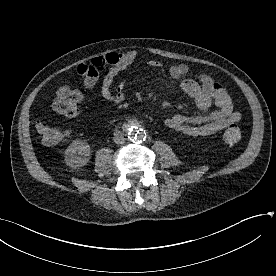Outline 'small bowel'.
I'll return each mask as SVG.
<instances>
[{"label": "small bowel", "mask_w": 276, "mask_h": 276, "mask_svg": "<svg viewBox=\"0 0 276 276\" xmlns=\"http://www.w3.org/2000/svg\"><path fill=\"white\" fill-rule=\"evenodd\" d=\"M140 57L138 50L129 49L126 52H111L93 58L88 64L77 68L83 78L87 91L95 90L100 73L106 70L101 80V96L113 103H120L124 99V83H118L114 88L115 79L127 71ZM147 65L158 68L160 61L149 59ZM189 68L186 64H177L170 67L169 73L175 80L180 81L181 90L192 98L200 110H207L212 105L215 109L206 115L175 114L165 120L167 127L189 136H208L215 134L229 125L239 122L241 115L235 111L226 89L209 74L202 73L197 80L184 78Z\"/></svg>", "instance_id": "c3829d8e"}]
</instances>
